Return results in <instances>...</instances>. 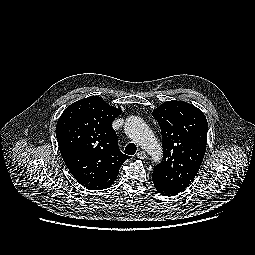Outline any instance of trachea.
<instances>
[{"label":"trachea","mask_w":255,"mask_h":255,"mask_svg":"<svg viewBox=\"0 0 255 255\" xmlns=\"http://www.w3.org/2000/svg\"><path fill=\"white\" fill-rule=\"evenodd\" d=\"M137 147L134 143H129L125 148V153L128 155H134L136 153Z\"/></svg>","instance_id":"3493384b"}]
</instances>
